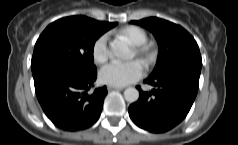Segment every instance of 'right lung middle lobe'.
Listing matches in <instances>:
<instances>
[{
    "label": "right lung middle lobe",
    "mask_w": 238,
    "mask_h": 145,
    "mask_svg": "<svg viewBox=\"0 0 238 145\" xmlns=\"http://www.w3.org/2000/svg\"><path fill=\"white\" fill-rule=\"evenodd\" d=\"M108 30L109 28L100 21L86 16L59 19L47 26L39 36L31 64L45 60H60L86 70H94V44Z\"/></svg>",
    "instance_id": "right-lung-middle-lobe-1"
}]
</instances>
